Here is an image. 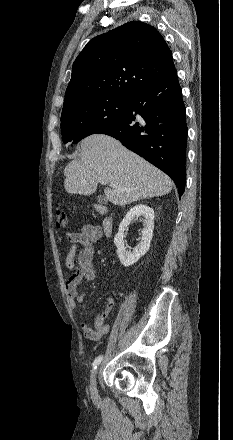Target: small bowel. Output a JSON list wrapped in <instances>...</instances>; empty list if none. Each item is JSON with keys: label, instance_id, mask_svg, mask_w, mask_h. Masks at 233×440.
Wrapping results in <instances>:
<instances>
[{"label": "small bowel", "instance_id": "obj_1", "mask_svg": "<svg viewBox=\"0 0 233 440\" xmlns=\"http://www.w3.org/2000/svg\"><path fill=\"white\" fill-rule=\"evenodd\" d=\"M102 237L101 229L96 224H85L79 231L67 233V239L71 246L67 252L65 264L69 271L66 281V292L71 307L85 302V294L79 292L78 286L83 281H94L97 279L99 269L93 264L95 253L94 244ZM78 246L82 249L78 251ZM115 301L108 298L103 310L97 315L93 327L87 323L81 324L84 336L89 340H99L109 333L111 326L106 320L113 309Z\"/></svg>", "mask_w": 233, "mask_h": 440}]
</instances>
